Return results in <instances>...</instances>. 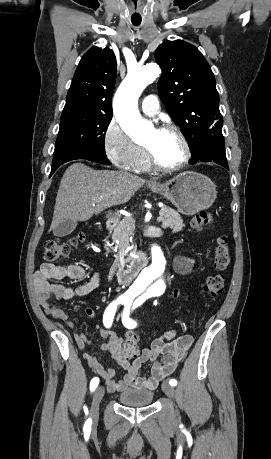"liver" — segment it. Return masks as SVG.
<instances>
[{
    "label": "liver",
    "mask_w": 271,
    "mask_h": 459,
    "mask_svg": "<svg viewBox=\"0 0 271 459\" xmlns=\"http://www.w3.org/2000/svg\"><path fill=\"white\" fill-rule=\"evenodd\" d=\"M145 182L129 172L92 170L84 164H72L60 182L49 231L66 220L86 222L106 208L126 204Z\"/></svg>",
    "instance_id": "obj_1"
}]
</instances>
